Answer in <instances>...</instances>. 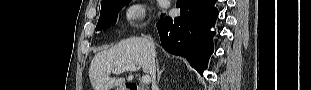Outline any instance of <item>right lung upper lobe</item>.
Here are the masks:
<instances>
[{
    "label": "right lung upper lobe",
    "instance_id": "obj_1",
    "mask_svg": "<svg viewBox=\"0 0 311 90\" xmlns=\"http://www.w3.org/2000/svg\"><path fill=\"white\" fill-rule=\"evenodd\" d=\"M107 1H109V0H102V3H105V2H107ZM102 3H101V4H102Z\"/></svg>",
    "mask_w": 311,
    "mask_h": 90
}]
</instances>
